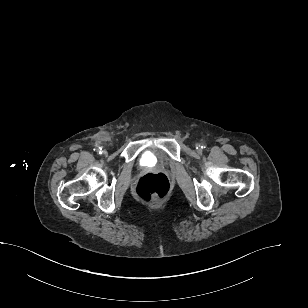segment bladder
<instances>
[{"mask_svg":"<svg viewBox=\"0 0 308 308\" xmlns=\"http://www.w3.org/2000/svg\"><path fill=\"white\" fill-rule=\"evenodd\" d=\"M157 161V157L154 153H146L142 157V162L144 164H148L149 162L155 163Z\"/></svg>","mask_w":308,"mask_h":308,"instance_id":"31cf9c89","label":"bladder"}]
</instances>
